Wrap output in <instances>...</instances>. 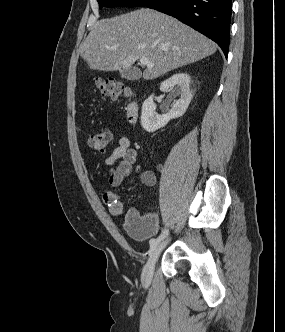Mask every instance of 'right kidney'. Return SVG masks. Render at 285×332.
<instances>
[{"mask_svg": "<svg viewBox=\"0 0 285 332\" xmlns=\"http://www.w3.org/2000/svg\"><path fill=\"white\" fill-rule=\"evenodd\" d=\"M190 76L187 73H178L163 81L160 85L162 92H171V96H180L174 101L173 107L168 113L159 115L156 113L154 95L149 96L142 105L141 125L147 132H154L171 120L181 117L187 110L192 99L189 88Z\"/></svg>", "mask_w": 285, "mask_h": 332, "instance_id": "ca27d5eb", "label": "right kidney"}]
</instances>
